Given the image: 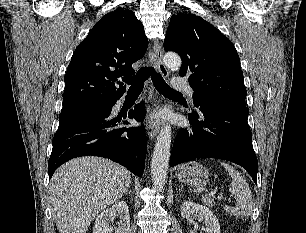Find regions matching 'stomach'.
Listing matches in <instances>:
<instances>
[{
    "label": "stomach",
    "instance_id": "stomach-1",
    "mask_svg": "<svg viewBox=\"0 0 306 233\" xmlns=\"http://www.w3.org/2000/svg\"><path fill=\"white\" fill-rule=\"evenodd\" d=\"M177 178L192 187H203L209 181L208 170L196 161L182 164L177 170Z\"/></svg>",
    "mask_w": 306,
    "mask_h": 233
}]
</instances>
